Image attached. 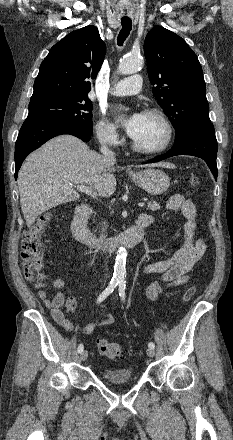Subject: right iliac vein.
<instances>
[{
  "instance_id": "63e3f726",
  "label": "right iliac vein",
  "mask_w": 233,
  "mask_h": 440,
  "mask_svg": "<svg viewBox=\"0 0 233 440\" xmlns=\"http://www.w3.org/2000/svg\"><path fill=\"white\" fill-rule=\"evenodd\" d=\"M87 357H88V352H87L86 350H83V351L80 353V359H81V361H85V360L87 359Z\"/></svg>"
}]
</instances>
